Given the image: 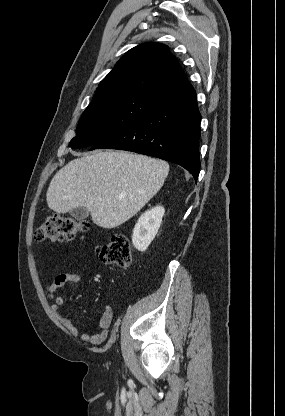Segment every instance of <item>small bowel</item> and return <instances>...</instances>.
Wrapping results in <instances>:
<instances>
[{"instance_id":"small-bowel-1","label":"small bowel","mask_w":285,"mask_h":416,"mask_svg":"<svg viewBox=\"0 0 285 416\" xmlns=\"http://www.w3.org/2000/svg\"><path fill=\"white\" fill-rule=\"evenodd\" d=\"M81 281L82 277L78 272H59L53 276L51 282L45 288L46 299L53 302L51 305L53 316L56 321L74 337L79 335V330L73 325L71 320L63 314L62 307L65 303V299L63 296L57 295L56 291L67 283L79 284ZM112 320L113 309L111 306H105L99 321V330L94 334L82 333L80 335L81 340L93 345L103 343L108 338Z\"/></svg>"}]
</instances>
